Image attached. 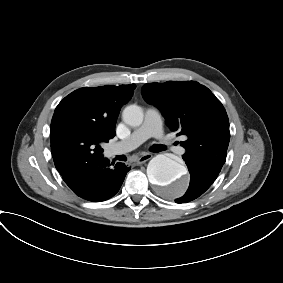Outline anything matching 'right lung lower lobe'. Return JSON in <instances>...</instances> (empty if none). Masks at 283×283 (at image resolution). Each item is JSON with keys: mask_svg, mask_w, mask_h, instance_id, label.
Here are the masks:
<instances>
[{"mask_svg": "<svg viewBox=\"0 0 283 283\" xmlns=\"http://www.w3.org/2000/svg\"><path fill=\"white\" fill-rule=\"evenodd\" d=\"M129 168L124 163H110L103 155L72 165L60 173L69 188L89 201H105L120 189Z\"/></svg>", "mask_w": 283, "mask_h": 283, "instance_id": "obj_1", "label": "right lung lower lobe"}]
</instances>
